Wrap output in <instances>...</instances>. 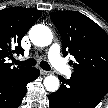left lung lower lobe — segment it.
Instances as JSON below:
<instances>
[{"label": "left lung lower lobe", "instance_id": "0a47b994", "mask_svg": "<svg viewBox=\"0 0 108 108\" xmlns=\"http://www.w3.org/2000/svg\"><path fill=\"white\" fill-rule=\"evenodd\" d=\"M61 86L49 95L50 108H95L108 91V78L72 74L66 80L60 77Z\"/></svg>", "mask_w": 108, "mask_h": 108}]
</instances>
